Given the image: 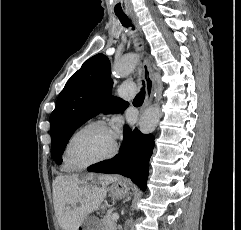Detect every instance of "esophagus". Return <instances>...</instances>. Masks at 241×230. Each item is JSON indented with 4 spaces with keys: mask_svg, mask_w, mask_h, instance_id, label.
<instances>
[{
    "mask_svg": "<svg viewBox=\"0 0 241 230\" xmlns=\"http://www.w3.org/2000/svg\"><path fill=\"white\" fill-rule=\"evenodd\" d=\"M130 17L134 25L136 26L137 30L142 34L137 17L134 14H130ZM142 73L145 81V100L140 108V115L148 106L151 105L156 89V82L153 78V70L148 59L145 60L142 65Z\"/></svg>",
    "mask_w": 241,
    "mask_h": 230,
    "instance_id": "34e87169",
    "label": "esophagus"
}]
</instances>
